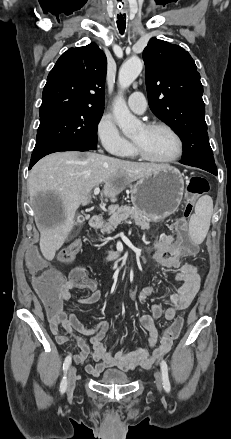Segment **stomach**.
Listing matches in <instances>:
<instances>
[{
    "label": "stomach",
    "mask_w": 231,
    "mask_h": 439,
    "mask_svg": "<svg viewBox=\"0 0 231 439\" xmlns=\"http://www.w3.org/2000/svg\"><path fill=\"white\" fill-rule=\"evenodd\" d=\"M183 192V174L177 168L167 165L139 179L132 186L131 202L136 210L157 222L178 209Z\"/></svg>",
    "instance_id": "1"
}]
</instances>
